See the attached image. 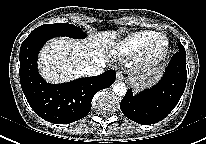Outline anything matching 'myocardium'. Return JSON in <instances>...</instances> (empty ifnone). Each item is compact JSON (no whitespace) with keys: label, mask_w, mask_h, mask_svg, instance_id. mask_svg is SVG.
Here are the masks:
<instances>
[{"label":"myocardium","mask_w":206,"mask_h":144,"mask_svg":"<svg viewBox=\"0 0 206 144\" xmlns=\"http://www.w3.org/2000/svg\"><path fill=\"white\" fill-rule=\"evenodd\" d=\"M159 40H164V48L159 51H154V46ZM170 51V40L164 34H157L150 39L147 44L138 53L136 62L137 65L142 69H152L159 65L169 54Z\"/></svg>","instance_id":"1"}]
</instances>
